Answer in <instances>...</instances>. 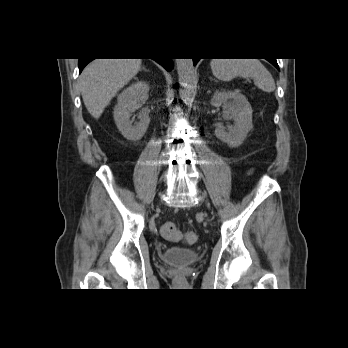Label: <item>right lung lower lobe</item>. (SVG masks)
I'll return each instance as SVG.
<instances>
[{
  "label": "right lung lower lobe",
  "mask_w": 348,
  "mask_h": 348,
  "mask_svg": "<svg viewBox=\"0 0 348 348\" xmlns=\"http://www.w3.org/2000/svg\"><path fill=\"white\" fill-rule=\"evenodd\" d=\"M93 60V59H92ZM91 59H79V73L83 70V68L90 62L92 61ZM157 61L159 64H161L166 70L170 71L171 70V60L169 58H161V59H154Z\"/></svg>",
  "instance_id": "1"
}]
</instances>
